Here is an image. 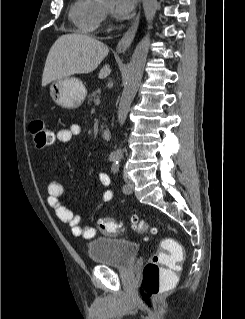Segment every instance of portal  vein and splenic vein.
<instances>
[{
    "label": "portal vein and splenic vein",
    "mask_w": 245,
    "mask_h": 319,
    "mask_svg": "<svg viewBox=\"0 0 245 319\" xmlns=\"http://www.w3.org/2000/svg\"><path fill=\"white\" fill-rule=\"evenodd\" d=\"M94 103H95V105H99V104H100V98H99V97L96 98V99L94 100Z\"/></svg>",
    "instance_id": "obj_1"
}]
</instances>
